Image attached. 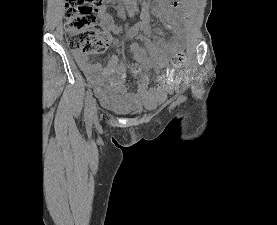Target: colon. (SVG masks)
<instances>
[{"label":"colon","mask_w":277,"mask_h":225,"mask_svg":"<svg viewBox=\"0 0 277 225\" xmlns=\"http://www.w3.org/2000/svg\"><path fill=\"white\" fill-rule=\"evenodd\" d=\"M99 0H68L65 31L69 48L79 55L101 54L107 48L100 27L96 23L94 8ZM186 61L182 52L171 61L172 81L178 80L180 69Z\"/></svg>","instance_id":"5ec220e1"}]
</instances>
